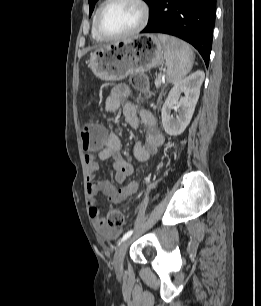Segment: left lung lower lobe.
<instances>
[{
  "label": "left lung lower lobe",
  "instance_id": "left-lung-lower-lobe-1",
  "mask_svg": "<svg viewBox=\"0 0 261 306\" xmlns=\"http://www.w3.org/2000/svg\"><path fill=\"white\" fill-rule=\"evenodd\" d=\"M148 25L141 33H164L192 44L209 64L216 0H152Z\"/></svg>",
  "mask_w": 261,
  "mask_h": 306
}]
</instances>
